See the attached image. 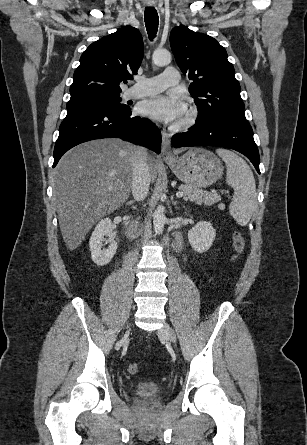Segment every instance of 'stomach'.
Segmentation results:
<instances>
[{
	"label": "stomach",
	"mask_w": 307,
	"mask_h": 445,
	"mask_svg": "<svg viewBox=\"0 0 307 445\" xmlns=\"http://www.w3.org/2000/svg\"><path fill=\"white\" fill-rule=\"evenodd\" d=\"M167 164L180 180L196 188L210 186L221 178L224 170L220 158L205 148H190L180 158L167 160Z\"/></svg>",
	"instance_id": "1"
}]
</instances>
